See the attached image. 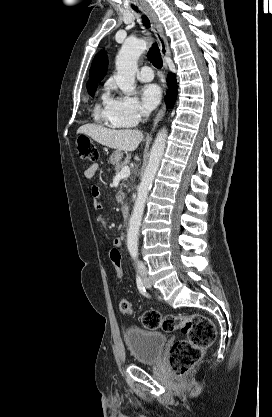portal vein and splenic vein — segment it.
<instances>
[{"mask_svg":"<svg viewBox=\"0 0 272 417\" xmlns=\"http://www.w3.org/2000/svg\"><path fill=\"white\" fill-rule=\"evenodd\" d=\"M120 176H129L130 175V168L125 166L122 170L118 173Z\"/></svg>","mask_w":272,"mask_h":417,"instance_id":"obj_1","label":"portal vein and splenic vein"}]
</instances>
